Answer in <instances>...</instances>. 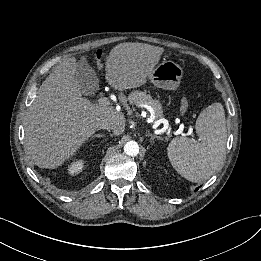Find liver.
I'll return each instance as SVG.
<instances>
[{
  "mask_svg": "<svg viewBox=\"0 0 261 261\" xmlns=\"http://www.w3.org/2000/svg\"><path fill=\"white\" fill-rule=\"evenodd\" d=\"M164 49L144 43L115 46L105 62V79L124 91L146 83ZM86 61V56L81 61ZM76 59L60 63L40 86L25 121V148L40 168L54 169L73 157L82 144L109 122L115 135L125 130V116L112 106L82 97L75 78Z\"/></svg>",
  "mask_w": 261,
  "mask_h": 261,
  "instance_id": "1",
  "label": "liver"
}]
</instances>
